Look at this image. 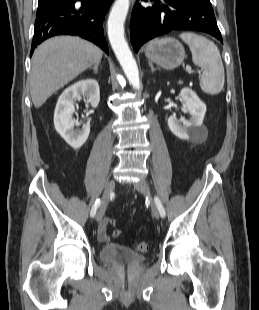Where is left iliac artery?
<instances>
[{"label": "left iliac artery", "mask_w": 259, "mask_h": 310, "mask_svg": "<svg viewBox=\"0 0 259 310\" xmlns=\"http://www.w3.org/2000/svg\"><path fill=\"white\" fill-rule=\"evenodd\" d=\"M154 200H155V204H156V206H157V208L159 210L160 215L162 217H165L166 216V212H165V209H164L160 199L158 197H155Z\"/></svg>", "instance_id": "1"}]
</instances>
